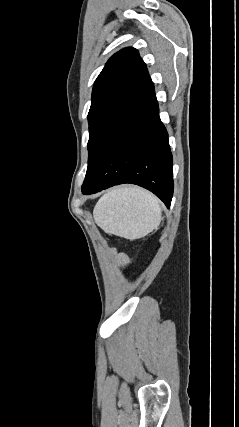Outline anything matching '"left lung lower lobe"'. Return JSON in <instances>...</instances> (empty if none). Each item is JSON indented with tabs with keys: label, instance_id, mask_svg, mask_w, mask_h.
Here are the masks:
<instances>
[{
	"label": "left lung lower lobe",
	"instance_id": "0a47b994",
	"mask_svg": "<svg viewBox=\"0 0 239 427\" xmlns=\"http://www.w3.org/2000/svg\"><path fill=\"white\" fill-rule=\"evenodd\" d=\"M122 183L144 187L170 207L172 154L155 96L113 136L82 193L89 195Z\"/></svg>",
	"mask_w": 239,
	"mask_h": 427
}]
</instances>
